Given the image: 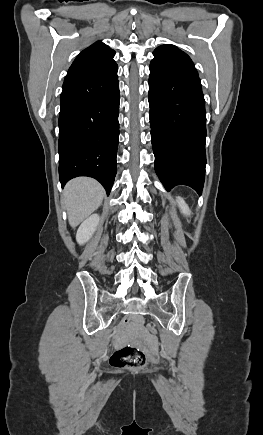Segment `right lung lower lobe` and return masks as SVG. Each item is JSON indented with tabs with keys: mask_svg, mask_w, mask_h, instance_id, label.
<instances>
[{
	"mask_svg": "<svg viewBox=\"0 0 263 435\" xmlns=\"http://www.w3.org/2000/svg\"><path fill=\"white\" fill-rule=\"evenodd\" d=\"M115 63L64 81L59 114L61 185L77 176L97 179L110 193L119 142V81Z\"/></svg>",
	"mask_w": 263,
	"mask_h": 435,
	"instance_id": "1",
	"label": "right lung lower lobe"
}]
</instances>
